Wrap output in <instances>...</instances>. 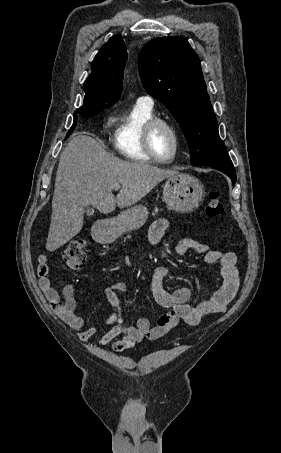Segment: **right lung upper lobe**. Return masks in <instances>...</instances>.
I'll list each match as a JSON object with an SVG mask.
<instances>
[{"label": "right lung upper lobe", "mask_w": 281, "mask_h": 453, "mask_svg": "<svg viewBox=\"0 0 281 453\" xmlns=\"http://www.w3.org/2000/svg\"><path fill=\"white\" fill-rule=\"evenodd\" d=\"M127 50L119 35L111 37L94 58L91 74L84 83L83 106L76 111H103L120 98Z\"/></svg>", "instance_id": "obj_1"}]
</instances>
